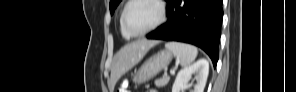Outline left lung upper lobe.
Instances as JSON below:
<instances>
[{
  "label": "left lung upper lobe",
  "mask_w": 296,
  "mask_h": 92,
  "mask_svg": "<svg viewBox=\"0 0 296 92\" xmlns=\"http://www.w3.org/2000/svg\"><path fill=\"white\" fill-rule=\"evenodd\" d=\"M166 1L168 2L169 0H166ZM120 2H121V0H111V1H110V12H111V14L114 13L115 8L117 7V5H118Z\"/></svg>",
  "instance_id": "1"
}]
</instances>
